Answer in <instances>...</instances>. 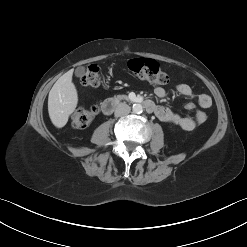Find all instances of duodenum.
I'll return each instance as SVG.
<instances>
[{
  "label": "duodenum",
  "instance_id": "1",
  "mask_svg": "<svg viewBox=\"0 0 247 247\" xmlns=\"http://www.w3.org/2000/svg\"><path fill=\"white\" fill-rule=\"evenodd\" d=\"M141 103L143 104L145 109L149 112H154V110L156 109V104L151 100H143L141 101ZM118 104L119 101L117 99H112V98L107 99L102 103V112L105 115H109L115 110Z\"/></svg>",
  "mask_w": 247,
  "mask_h": 247
}]
</instances>
